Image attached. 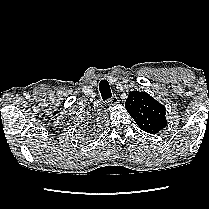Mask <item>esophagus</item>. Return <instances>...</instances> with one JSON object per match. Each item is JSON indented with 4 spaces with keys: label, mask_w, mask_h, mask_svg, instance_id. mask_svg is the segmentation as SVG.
Instances as JSON below:
<instances>
[{
    "label": "esophagus",
    "mask_w": 209,
    "mask_h": 209,
    "mask_svg": "<svg viewBox=\"0 0 209 209\" xmlns=\"http://www.w3.org/2000/svg\"><path fill=\"white\" fill-rule=\"evenodd\" d=\"M107 103H108L109 106H114V105L119 103V99H118L117 96L114 95L108 100Z\"/></svg>",
    "instance_id": "34e87169"
}]
</instances>
